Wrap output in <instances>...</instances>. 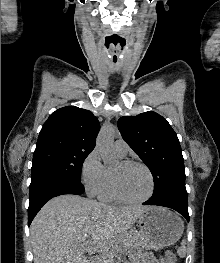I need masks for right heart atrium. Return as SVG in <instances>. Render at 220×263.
I'll return each instance as SVG.
<instances>
[{
  "mask_svg": "<svg viewBox=\"0 0 220 263\" xmlns=\"http://www.w3.org/2000/svg\"><path fill=\"white\" fill-rule=\"evenodd\" d=\"M80 176L89 195L99 194L104 185L106 173L97 149H93L83 160Z\"/></svg>",
  "mask_w": 220,
  "mask_h": 263,
  "instance_id": "d8ad5b80",
  "label": "right heart atrium"
}]
</instances>
